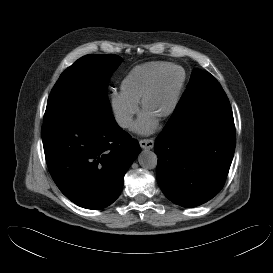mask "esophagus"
I'll use <instances>...</instances> for the list:
<instances>
[{"mask_svg":"<svg viewBox=\"0 0 273 273\" xmlns=\"http://www.w3.org/2000/svg\"><path fill=\"white\" fill-rule=\"evenodd\" d=\"M141 148L152 149L154 147V141L152 139H142L139 141Z\"/></svg>","mask_w":273,"mask_h":273,"instance_id":"obj_1","label":"esophagus"}]
</instances>
